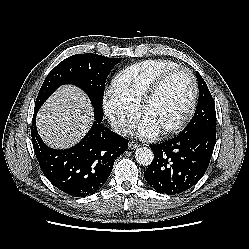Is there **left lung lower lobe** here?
Returning a JSON list of instances; mask_svg holds the SVG:
<instances>
[{
  "label": "left lung lower lobe",
  "instance_id": "left-lung-lower-lobe-1",
  "mask_svg": "<svg viewBox=\"0 0 249 249\" xmlns=\"http://www.w3.org/2000/svg\"><path fill=\"white\" fill-rule=\"evenodd\" d=\"M216 142V132L195 130L150 145L154 159L144 178L156 191L175 195L190 189L208 168Z\"/></svg>",
  "mask_w": 249,
  "mask_h": 249
}]
</instances>
